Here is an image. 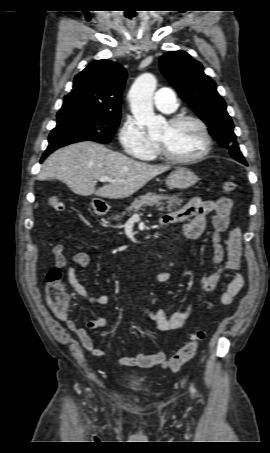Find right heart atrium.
<instances>
[{
    "mask_svg": "<svg viewBox=\"0 0 270 453\" xmlns=\"http://www.w3.org/2000/svg\"><path fill=\"white\" fill-rule=\"evenodd\" d=\"M123 151L132 157L145 158L155 149L156 144L151 141L143 129L131 118L122 123L118 133Z\"/></svg>",
    "mask_w": 270,
    "mask_h": 453,
    "instance_id": "right-heart-atrium-1",
    "label": "right heart atrium"
}]
</instances>
